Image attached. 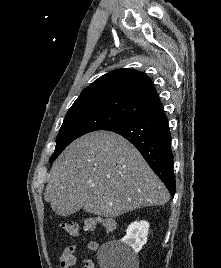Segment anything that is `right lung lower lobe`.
Wrapping results in <instances>:
<instances>
[{
  "mask_svg": "<svg viewBox=\"0 0 221 268\" xmlns=\"http://www.w3.org/2000/svg\"><path fill=\"white\" fill-rule=\"evenodd\" d=\"M107 130L120 134L135 145L173 197L175 176L171 134L163 110L123 121Z\"/></svg>",
  "mask_w": 221,
  "mask_h": 268,
  "instance_id": "obj_1",
  "label": "right lung lower lobe"
}]
</instances>
